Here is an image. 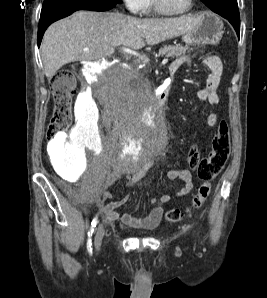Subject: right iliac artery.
Here are the masks:
<instances>
[{"instance_id": "obj_1", "label": "right iliac artery", "mask_w": 267, "mask_h": 298, "mask_svg": "<svg viewBox=\"0 0 267 298\" xmlns=\"http://www.w3.org/2000/svg\"><path fill=\"white\" fill-rule=\"evenodd\" d=\"M98 223V217L96 216L92 222H91V227H90V230L88 231V239H87V250L90 254H92V242H91V236L94 232V229L96 227Z\"/></svg>"}]
</instances>
